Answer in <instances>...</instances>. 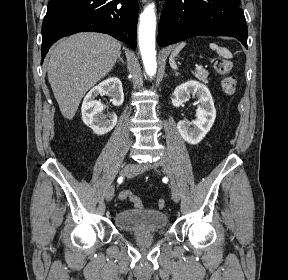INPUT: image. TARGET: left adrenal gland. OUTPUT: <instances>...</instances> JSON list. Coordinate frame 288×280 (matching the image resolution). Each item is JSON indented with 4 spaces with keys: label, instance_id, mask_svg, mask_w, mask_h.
Instances as JSON below:
<instances>
[{
    "label": "left adrenal gland",
    "instance_id": "obj_1",
    "mask_svg": "<svg viewBox=\"0 0 288 280\" xmlns=\"http://www.w3.org/2000/svg\"><path fill=\"white\" fill-rule=\"evenodd\" d=\"M178 74H179L178 72L175 73V75H178Z\"/></svg>",
    "mask_w": 288,
    "mask_h": 280
}]
</instances>
